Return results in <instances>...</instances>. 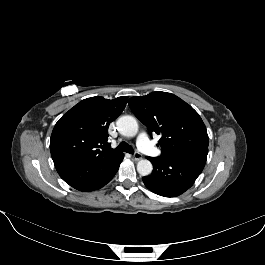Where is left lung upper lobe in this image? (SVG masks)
Returning a JSON list of instances; mask_svg holds the SVG:
<instances>
[{
    "instance_id": "obj_1",
    "label": "left lung upper lobe",
    "mask_w": 265,
    "mask_h": 265,
    "mask_svg": "<svg viewBox=\"0 0 265 265\" xmlns=\"http://www.w3.org/2000/svg\"><path fill=\"white\" fill-rule=\"evenodd\" d=\"M135 116L162 137L158 145L161 156L208 148L209 138L199 114L182 99L167 92H152L128 101Z\"/></svg>"
}]
</instances>
